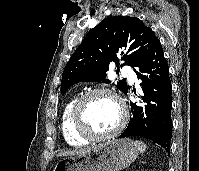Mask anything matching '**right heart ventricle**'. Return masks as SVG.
<instances>
[{
	"mask_svg": "<svg viewBox=\"0 0 199 171\" xmlns=\"http://www.w3.org/2000/svg\"><path fill=\"white\" fill-rule=\"evenodd\" d=\"M77 97H71L66 104L64 105L61 118H60V129L65 141L71 146H80L86 144L87 139L78 135L73 128L71 113L73 105L76 101Z\"/></svg>",
	"mask_w": 199,
	"mask_h": 171,
	"instance_id": "obj_1",
	"label": "right heart ventricle"
}]
</instances>
